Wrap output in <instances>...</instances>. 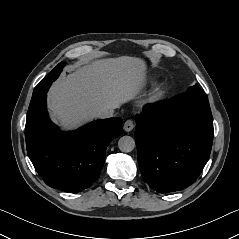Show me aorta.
I'll return each instance as SVG.
<instances>
[{"label":"aorta","mask_w":239,"mask_h":239,"mask_svg":"<svg viewBox=\"0 0 239 239\" xmlns=\"http://www.w3.org/2000/svg\"><path fill=\"white\" fill-rule=\"evenodd\" d=\"M135 140L131 136H123L118 141L120 151L128 153L135 148Z\"/></svg>","instance_id":"762f6f07"}]
</instances>
